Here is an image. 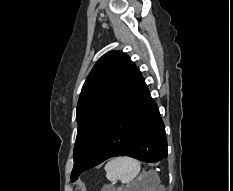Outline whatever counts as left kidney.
<instances>
[{
    "mask_svg": "<svg viewBox=\"0 0 233 191\" xmlns=\"http://www.w3.org/2000/svg\"><path fill=\"white\" fill-rule=\"evenodd\" d=\"M148 189H150V187H149V188H147V191H148ZM149 191H151V190H149Z\"/></svg>",
    "mask_w": 233,
    "mask_h": 191,
    "instance_id": "1",
    "label": "left kidney"
}]
</instances>
